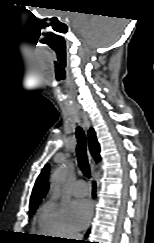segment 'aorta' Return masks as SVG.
<instances>
[{"label":"aorta","instance_id":"1","mask_svg":"<svg viewBox=\"0 0 154 243\" xmlns=\"http://www.w3.org/2000/svg\"><path fill=\"white\" fill-rule=\"evenodd\" d=\"M69 173L67 166L58 168L51 176V191L53 197L57 198L60 195L61 185L65 182Z\"/></svg>","mask_w":154,"mask_h":243}]
</instances>
